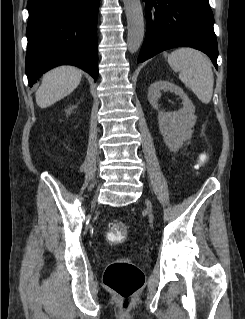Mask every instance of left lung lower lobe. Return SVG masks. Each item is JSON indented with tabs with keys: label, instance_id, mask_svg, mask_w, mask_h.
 Masks as SVG:
<instances>
[{
	"label": "left lung lower lobe",
	"instance_id": "left-lung-lower-lobe-1",
	"mask_svg": "<svg viewBox=\"0 0 245 319\" xmlns=\"http://www.w3.org/2000/svg\"><path fill=\"white\" fill-rule=\"evenodd\" d=\"M147 27L138 63L169 48L185 46L206 53L216 69L218 46L208 0H145ZM152 6L155 9H152Z\"/></svg>",
	"mask_w": 245,
	"mask_h": 319
}]
</instances>
